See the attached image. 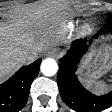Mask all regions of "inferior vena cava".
Returning a JSON list of instances; mask_svg holds the SVG:
<instances>
[{"mask_svg":"<svg viewBox=\"0 0 112 112\" xmlns=\"http://www.w3.org/2000/svg\"><path fill=\"white\" fill-rule=\"evenodd\" d=\"M38 57V53L37 52H24L21 54L20 56V60L23 62V63H30V62H33L36 58Z\"/></svg>","mask_w":112,"mask_h":112,"instance_id":"obj_1","label":"inferior vena cava"}]
</instances>
